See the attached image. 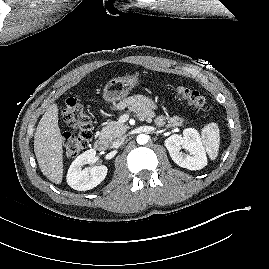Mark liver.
Returning a JSON list of instances; mask_svg holds the SVG:
<instances>
[{
  "label": "liver",
  "mask_w": 269,
  "mask_h": 269,
  "mask_svg": "<svg viewBox=\"0 0 269 269\" xmlns=\"http://www.w3.org/2000/svg\"><path fill=\"white\" fill-rule=\"evenodd\" d=\"M58 120V106L52 104L39 121L34 135L39 168L55 184H60L63 178V138Z\"/></svg>",
  "instance_id": "liver-1"
}]
</instances>
